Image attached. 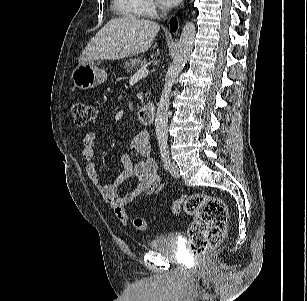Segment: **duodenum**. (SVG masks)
I'll use <instances>...</instances> for the list:
<instances>
[{"label": "duodenum", "instance_id": "1", "mask_svg": "<svg viewBox=\"0 0 307 301\" xmlns=\"http://www.w3.org/2000/svg\"><path fill=\"white\" fill-rule=\"evenodd\" d=\"M138 121L145 125H150L156 117V107L154 104H148L138 110Z\"/></svg>", "mask_w": 307, "mask_h": 301}]
</instances>
